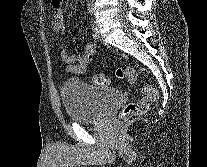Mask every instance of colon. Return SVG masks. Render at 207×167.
Here are the masks:
<instances>
[{
  "instance_id": "obj_1",
  "label": "colon",
  "mask_w": 207,
  "mask_h": 167,
  "mask_svg": "<svg viewBox=\"0 0 207 167\" xmlns=\"http://www.w3.org/2000/svg\"><path fill=\"white\" fill-rule=\"evenodd\" d=\"M117 75L120 78H126L130 83L134 84L138 80L136 71L131 67L118 69ZM92 82L100 87H107L110 85L111 80L105 74H95L92 77ZM158 99V92L153 87L146 85L142 88V98L138 101L128 102L120 112V119L126 120L132 116L140 115L146 109L155 103Z\"/></svg>"
}]
</instances>
